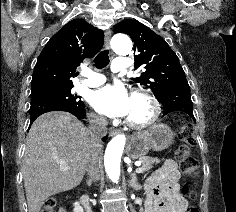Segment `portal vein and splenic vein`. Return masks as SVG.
<instances>
[{
	"label": "portal vein and splenic vein",
	"instance_id": "1",
	"mask_svg": "<svg viewBox=\"0 0 236 212\" xmlns=\"http://www.w3.org/2000/svg\"><path fill=\"white\" fill-rule=\"evenodd\" d=\"M136 166H138L137 168H136V173H141L142 172V169H141V163L139 162V163H137L136 164ZM60 169L62 170V171H66V170H69L70 169V167L69 166H67V165H62L61 167H60Z\"/></svg>",
	"mask_w": 236,
	"mask_h": 212
}]
</instances>
